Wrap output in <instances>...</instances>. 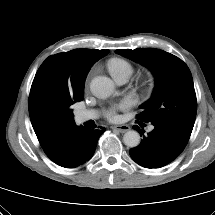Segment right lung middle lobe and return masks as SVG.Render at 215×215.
I'll list each match as a JSON object with an SVG mask.
<instances>
[{"mask_svg": "<svg viewBox=\"0 0 215 215\" xmlns=\"http://www.w3.org/2000/svg\"><path fill=\"white\" fill-rule=\"evenodd\" d=\"M35 77L37 78L35 90L30 98L33 107L51 118L72 117L70 106L81 101L83 97L73 99L68 92L56 87L52 83V75L48 69L38 70Z\"/></svg>", "mask_w": 215, "mask_h": 215, "instance_id": "right-lung-middle-lobe-1", "label": "right lung middle lobe"}]
</instances>
